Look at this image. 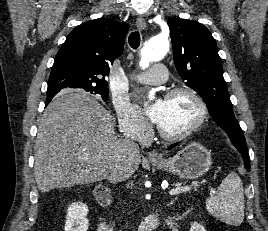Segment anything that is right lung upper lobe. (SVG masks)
I'll return each mask as SVG.
<instances>
[{
  "mask_svg": "<svg viewBox=\"0 0 268 231\" xmlns=\"http://www.w3.org/2000/svg\"><path fill=\"white\" fill-rule=\"evenodd\" d=\"M129 25L110 19L87 21L71 31L58 51L48 89L108 88L113 61L122 54ZM57 93H47L46 103Z\"/></svg>",
  "mask_w": 268,
  "mask_h": 231,
  "instance_id": "right-lung-upper-lobe-1",
  "label": "right lung upper lobe"
}]
</instances>
